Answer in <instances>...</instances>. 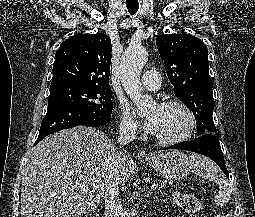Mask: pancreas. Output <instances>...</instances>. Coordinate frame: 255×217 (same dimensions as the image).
<instances>
[{
    "mask_svg": "<svg viewBox=\"0 0 255 217\" xmlns=\"http://www.w3.org/2000/svg\"><path fill=\"white\" fill-rule=\"evenodd\" d=\"M172 182L170 180H165L162 182V185L165 186L167 184H171Z\"/></svg>",
    "mask_w": 255,
    "mask_h": 217,
    "instance_id": "1",
    "label": "pancreas"
}]
</instances>
